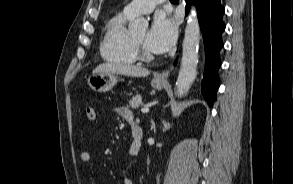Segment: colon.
<instances>
[{
  "label": "colon",
  "mask_w": 293,
  "mask_h": 184,
  "mask_svg": "<svg viewBox=\"0 0 293 184\" xmlns=\"http://www.w3.org/2000/svg\"><path fill=\"white\" fill-rule=\"evenodd\" d=\"M86 116L89 121H91V122L95 121L97 114H96V110L93 106H88L86 108Z\"/></svg>",
  "instance_id": "1"
}]
</instances>
